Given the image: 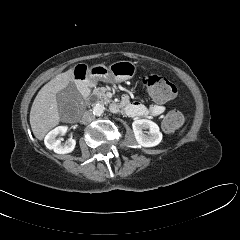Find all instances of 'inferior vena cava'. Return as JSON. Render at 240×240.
Masks as SVG:
<instances>
[{
	"label": "inferior vena cava",
	"mask_w": 240,
	"mask_h": 240,
	"mask_svg": "<svg viewBox=\"0 0 240 240\" xmlns=\"http://www.w3.org/2000/svg\"><path fill=\"white\" fill-rule=\"evenodd\" d=\"M93 119H94V114L92 113L91 110H88L83 114L81 122L83 124H89Z\"/></svg>",
	"instance_id": "inferior-vena-cava-1"
}]
</instances>
